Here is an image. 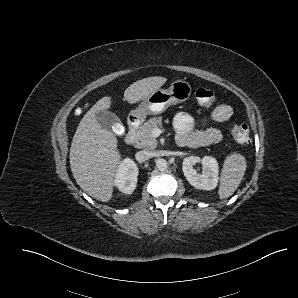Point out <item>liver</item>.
Instances as JSON below:
<instances>
[{"instance_id":"1","label":"liver","mask_w":298,"mask_h":298,"mask_svg":"<svg viewBox=\"0 0 298 298\" xmlns=\"http://www.w3.org/2000/svg\"><path fill=\"white\" fill-rule=\"evenodd\" d=\"M166 77L153 76L132 83L124 99L134 104L161 88ZM111 97L98 100L81 119L70 147V168L80 188L92 198L108 202L112 198L115 174L121 163L118 140L102 128L95 118L100 110L111 106Z\"/></svg>"}]
</instances>
